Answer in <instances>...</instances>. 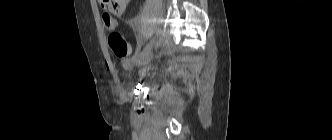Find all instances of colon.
<instances>
[{
    "label": "colon",
    "mask_w": 332,
    "mask_h": 140,
    "mask_svg": "<svg viewBox=\"0 0 332 140\" xmlns=\"http://www.w3.org/2000/svg\"><path fill=\"white\" fill-rule=\"evenodd\" d=\"M100 4L112 13L125 11L129 0H99ZM103 28L112 31L109 36V45L113 53L118 57H125L130 53V47L121 34L115 32L117 27L116 19L109 13L102 15Z\"/></svg>",
    "instance_id": "colon-1"
}]
</instances>
